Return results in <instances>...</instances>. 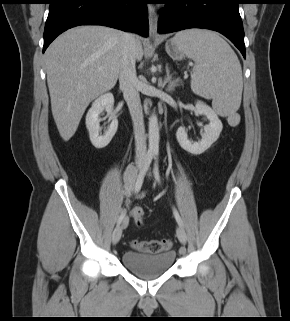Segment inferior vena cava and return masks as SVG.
<instances>
[{"label":"inferior vena cava","mask_w":290,"mask_h":321,"mask_svg":"<svg viewBox=\"0 0 290 321\" xmlns=\"http://www.w3.org/2000/svg\"><path fill=\"white\" fill-rule=\"evenodd\" d=\"M135 63L136 39L134 35L124 33L121 40L119 84L133 122L136 156L138 158H144L147 152L146 134Z\"/></svg>","instance_id":"inferior-vena-cava-1"}]
</instances>
